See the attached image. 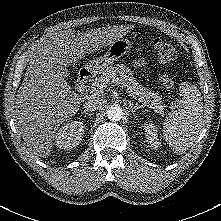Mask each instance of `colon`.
Returning <instances> with one entry per match:
<instances>
[{
	"label": "colon",
	"mask_w": 221,
	"mask_h": 221,
	"mask_svg": "<svg viewBox=\"0 0 221 221\" xmlns=\"http://www.w3.org/2000/svg\"><path fill=\"white\" fill-rule=\"evenodd\" d=\"M151 45L160 62H171L177 56L175 48L170 43L160 38L152 39ZM160 83L163 88L172 89L175 85V79L172 76L164 75L161 77Z\"/></svg>",
	"instance_id": "colon-1"
}]
</instances>
